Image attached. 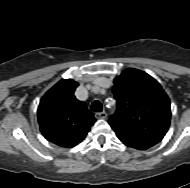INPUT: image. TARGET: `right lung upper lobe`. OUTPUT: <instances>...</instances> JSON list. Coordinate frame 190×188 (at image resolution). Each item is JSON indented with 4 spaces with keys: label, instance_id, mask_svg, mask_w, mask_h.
<instances>
[{
    "label": "right lung upper lobe",
    "instance_id": "right-lung-upper-lobe-1",
    "mask_svg": "<svg viewBox=\"0 0 190 188\" xmlns=\"http://www.w3.org/2000/svg\"><path fill=\"white\" fill-rule=\"evenodd\" d=\"M77 86L72 79L60 80L46 92L38 107L40 131L60 147L77 145L96 121L86 104L75 98Z\"/></svg>",
    "mask_w": 190,
    "mask_h": 188
}]
</instances>
